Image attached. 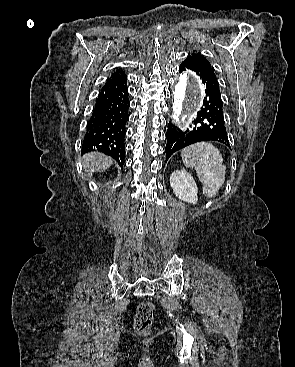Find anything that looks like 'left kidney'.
<instances>
[{
	"mask_svg": "<svg viewBox=\"0 0 295 367\" xmlns=\"http://www.w3.org/2000/svg\"><path fill=\"white\" fill-rule=\"evenodd\" d=\"M170 185L174 194L182 201L195 204L198 200V188L193 177L186 171L175 170L170 176Z\"/></svg>",
	"mask_w": 295,
	"mask_h": 367,
	"instance_id": "1",
	"label": "left kidney"
}]
</instances>
